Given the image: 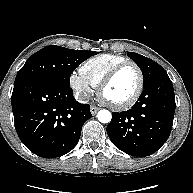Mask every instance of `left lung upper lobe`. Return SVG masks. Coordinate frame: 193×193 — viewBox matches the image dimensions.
<instances>
[{"label": "left lung upper lobe", "mask_w": 193, "mask_h": 193, "mask_svg": "<svg viewBox=\"0 0 193 193\" xmlns=\"http://www.w3.org/2000/svg\"><path fill=\"white\" fill-rule=\"evenodd\" d=\"M127 55L139 66L144 78V85L152 81L157 75L166 72L155 61L133 52H128Z\"/></svg>", "instance_id": "5c2ea615"}]
</instances>
